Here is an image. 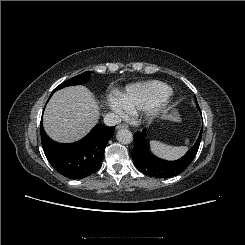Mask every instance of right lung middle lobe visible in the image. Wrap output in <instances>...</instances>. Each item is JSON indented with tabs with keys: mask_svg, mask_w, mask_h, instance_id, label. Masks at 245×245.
<instances>
[{
	"mask_svg": "<svg viewBox=\"0 0 245 245\" xmlns=\"http://www.w3.org/2000/svg\"><path fill=\"white\" fill-rule=\"evenodd\" d=\"M91 73H92L91 71H87V72H84L78 76H75V77L63 82L61 85L56 87L54 91L59 90V89L64 88V87H67V86L84 84L89 80Z\"/></svg>",
	"mask_w": 245,
	"mask_h": 245,
	"instance_id": "1",
	"label": "right lung middle lobe"
}]
</instances>
